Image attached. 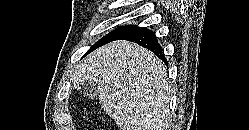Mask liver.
Returning <instances> with one entry per match:
<instances>
[{
  "label": "liver",
  "instance_id": "1",
  "mask_svg": "<svg viewBox=\"0 0 249 130\" xmlns=\"http://www.w3.org/2000/svg\"><path fill=\"white\" fill-rule=\"evenodd\" d=\"M166 71L149 50L114 41L89 54L71 81L76 89L95 83L102 109L121 130H164L171 92Z\"/></svg>",
  "mask_w": 249,
  "mask_h": 130
}]
</instances>
